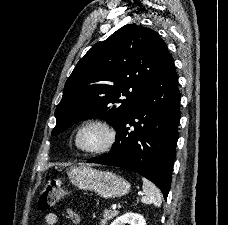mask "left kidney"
Masks as SVG:
<instances>
[{"mask_svg": "<svg viewBox=\"0 0 228 225\" xmlns=\"http://www.w3.org/2000/svg\"><path fill=\"white\" fill-rule=\"evenodd\" d=\"M146 225V221L142 215H136V213H125L121 217H117L113 221L112 225Z\"/></svg>", "mask_w": 228, "mask_h": 225, "instance_id": "obj_1", "label": "left kidney"}]
</instances>
